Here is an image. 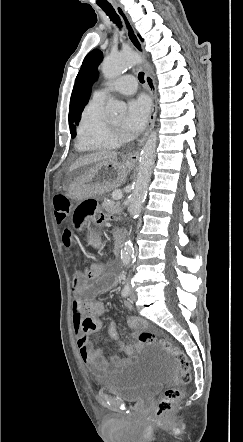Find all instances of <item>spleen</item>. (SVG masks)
I'll return each instance as SVG.
<instances>
[{"label":"spleen","mask_w":243,"mask_h":442,"mask_svg":"<svg viewBox=\"0 0 243 442\" xmlns=\"http://www.w3.org/2000/svg\"><path fill=\"white\" fill-rule=\"evenodd\" d=\"M88 233L91 235L93 232L90 230Z\"/></svg>","instance_id":"obj_1"}]
</instances>
